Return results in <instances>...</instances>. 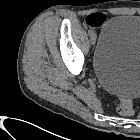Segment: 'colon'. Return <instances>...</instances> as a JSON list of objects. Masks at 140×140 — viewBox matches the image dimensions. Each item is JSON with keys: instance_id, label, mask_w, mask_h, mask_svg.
<instances>
[{"instance_id": "obj_1", "label": "colon", "mask_w": 140, "mask_h": 140, "mask_svg": "<svg viewBox=\"0 0 140 140\" xmlns=\"http://www.w3.org/2000/svg\"><path fill=\"white\" fill-rule=\"evenodd\" d=\"M113 108L121 115L130 116L133 114V104L129 99L115 97L112 99Z\"/></svg>"}]
</instances>
